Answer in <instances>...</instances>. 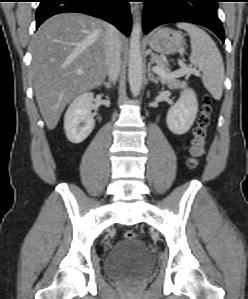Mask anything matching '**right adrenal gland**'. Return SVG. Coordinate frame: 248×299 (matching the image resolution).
I'll return each mask as SVG.
<instances>
[{
    "mask_svg": "<svg viewBox=\"0 0 248 299\" xmlns=\"http://www.w3.org/2000/svg\"><path fill=\"white\" fill-rule=\"evenodd\" d=\"M103 84L105 85V87H106V88H108V89H109V88H111V87H112V85H114V84H115V82H113V83H112V82H110V81H108V82L104 81V83H103Z\"/></svg>",
    "mask_w": 248,
    "mask_h": 299,
    "instance_id": "1",
    "label": "right adrenal gland"
}]
</instances>
